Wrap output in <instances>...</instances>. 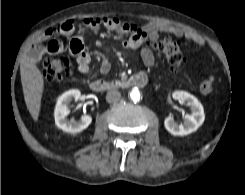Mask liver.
<instances>
[{
  "mask_svg": "<svg viewBox=\"0 0 245 195\" xmlns=\"http://www.w3.org/2000/svg\"><path fill=\"white\" fill-rule=\"evenodd\" d=\"M20 74L27 109L33 120L37 121L44 90L43 75L28 56H25L21 61Z\"/></svg>",
  "mask_w": 245,
  "mask_h": 195,
  "instance_id": "obj_1",
  "label": "liver"
}]
</instances>
